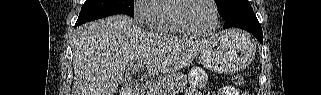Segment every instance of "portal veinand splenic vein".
I'll return each instance as SVG.
<instances>
[{"mask_svg":"<svg viewBox=\"0 0 321 95\" xmlns=\"http://www.w3.org/2000/svg\"><path fill=\"white\" fill-rule=\"evenodd\" d=\"M145 62H140L138 65H137V70H142L145 66ZM151 84V83H150Z\"/></svg>","mask_w":321,"mask_h":95,"instance_id":"18ae733b","label":"portal vein and splenic vein"}]
</instances>
